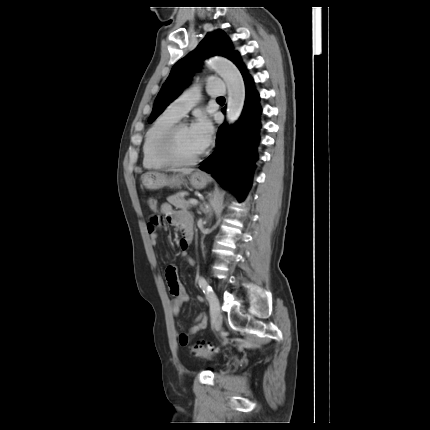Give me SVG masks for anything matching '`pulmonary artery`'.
Wrapping results in <instances>:
<instances>
[{"label":"pulmonary artery","instance_id":"obj_1","mask_svg":"<svg viewBox=\"0 0 430 430\" xmlns=\"http://www.w3.org/2000/svg\"><path fill=\"white\" fill-rule=\"evenodd\" d=\"M201 91L200 84L189 87L169 105L167 110L178 117H182L200 102ZM206 91L210 96H222L225 94V85L222 81L211 78L206 83Z\"/></svg>","mask_w":430,"mask_h":430}]
</instances>
